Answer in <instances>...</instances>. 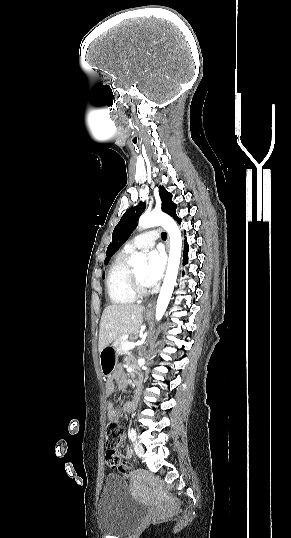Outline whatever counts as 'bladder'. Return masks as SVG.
I'll use <instances>...</instances> for the list:
<instances>
[{
	"instance_id": "31cf9c89",
	"label": "bladder",
	"mask_w": 291,
	"mask_h": 538,
	"mask_svg": "<svg viewBox=\"0 0 291 538\" xmlns=\"http://www.w3.org/2000/svg\"><path fill=\"white\" fill-rule=\"evenodd\" d=\"M145 513L146 507L130 495L121 478H107L97 507L98 521L104 533L116 538L125 536Z\"/></svg>"
}]
</instances>
